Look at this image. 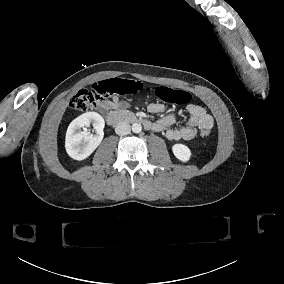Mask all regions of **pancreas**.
Returning a JSON list of instances; mask_svg holds the SVG:
<instances>
[{"mask_svg":"<svg viewBox=\"0 0 284 284\" xmlns=\"http://www.w3.org/2000/svg\"><path fill=\"white\" fill-rule=\"evenodd\" d=\"M118 114L122 117L134 116V113L130 111H119Z\"/></svg>","mask_w":284,"mask_h":284,"instance_id":"pancreas-1","label":"pancreas"}]
</instances>
